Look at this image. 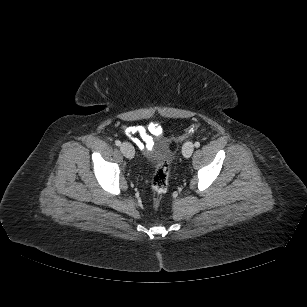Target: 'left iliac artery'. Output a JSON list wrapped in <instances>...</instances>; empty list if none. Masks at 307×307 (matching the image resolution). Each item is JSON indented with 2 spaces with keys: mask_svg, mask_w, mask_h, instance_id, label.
<instances>
[{
  "mask_svg": "<svg viewBox=\"0 0 307 307\" xmlns=\"http://www.w3.org/2000/svg\"><path fill=\"white\" fill-rule=\"evenodd\" d=\"M194 145H195L196 148L200 147V143L199 142H195Z\"/></svg>",
  "mask_w": 307,
  "mask_h": 307,
  "instance_id": "obj_1",
  "label": "left iliac artery"
}]
</instances>
